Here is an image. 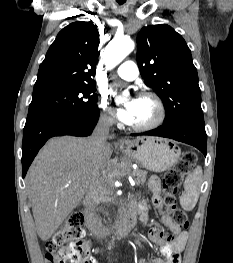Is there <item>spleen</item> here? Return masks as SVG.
Here are the masks:
<instances>
[{
	"label": "spleen",
	"mask_w": 233,
	"mask_h": 263,
	"mask_svg": "<svg viewBox=\"0 0 233 263\" xmlns=\"http://www.w3.org/2000/svg\"><path fill=\"white\" fill-rule=\"evenodd\" d=\"M202 177V168L200 166L187 176L184 183V192L180 197V205L184 210L191 211L195 207L199 198Z\"/></svg>",
	"instance_id": "spleen-1"
}]
</instances>
